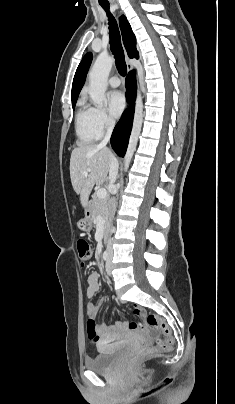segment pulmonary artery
Listing matches in <instances>:
<instances>
[{
  "instance_id": "1",
  "label": "pulmonary artery",
  "mask_w": 235,
  "mask_h": 404,
  "mask_svg": "<svg viewBox=\"0 0 235 404\" xmlns=\"http://www.w3.org/2000/svg\"><path fill=\"white\" fill-rule=\"evenodd\" d=\"M109 85L111 86V87H118L119 85H120V79L117 77V76H112L110 79H109Z\"/></svg>"
}]
</instances>
